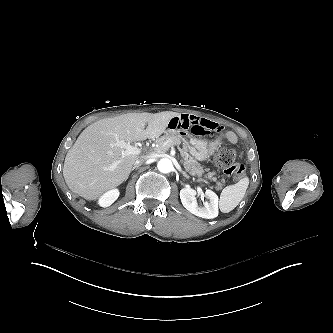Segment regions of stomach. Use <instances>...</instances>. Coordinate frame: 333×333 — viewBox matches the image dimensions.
I'll list each match as a JSON object with an SVG mask.
<instances>
[{
  "instance_id": "obj_1",
  "label": "stomach",
  "mask_w": 333,
  "mask_h": 333,
  "mask_svg": "<svg viewBox=\"0 0 333 333\" xmlns=\"http://www.w3.org/2000/svg\"><path fill=\"white\" fill-rule=\"evenodd\" d=\"M179 129H168L166 130V133L168 134H178ZM185 136L189 139V149L190 153L194 158H196L199 161H204L208 159L211 155H213L214 151L210 150L208 147V141L206 139H201L194 137L186 132ZM188 145V144H187Z\"/></svg>"
}]
</instances>
